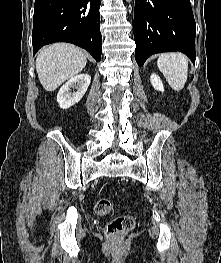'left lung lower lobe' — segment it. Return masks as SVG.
<instances>
[{"label":"left lung lower lobe","instance_id":"obj_1","mask_svg":"<svg viewBox=\"0 0 221 263\" xmlns=\"http://www.w3.org/2000/svg\"><path fill=\"white\" fill-rule=\"evenodd\" d=\"M196 25L190 0H136L135 59L143 66L155 53L180 51L195 63Z\"/></svg>","mask_w":221,"mask_h":263}]
</instances>
